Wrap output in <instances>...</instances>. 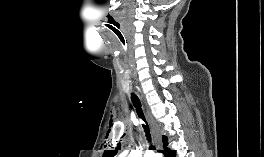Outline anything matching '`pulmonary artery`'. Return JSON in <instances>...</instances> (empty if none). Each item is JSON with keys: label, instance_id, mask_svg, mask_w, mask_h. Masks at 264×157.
I'll return each instance as SVG.
<instances>
[{"label": "pulmonary artery", "instance_id": "pulmonary-artery-1", "mask_svg": "<svg viewBox=\"0 0 264 157\" xmlns=\"http://www.w3.org/2000/svg\"><path fill=\"white\" fill-rule=\"evenodd\" d=\"M149 156H152V154L146 153L144 157H149Z\"/></svg>", "mask_w": 264, "mask_h": 157}]
</instances>
